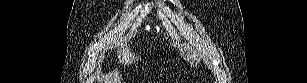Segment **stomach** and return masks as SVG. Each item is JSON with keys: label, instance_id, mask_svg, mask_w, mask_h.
<instances>
[{"label": "stomach", "instance_id": "stomach-1", "mask_svg": "<svg viewBox=\"0 0 307 83\" xmlns=\"http://www.w3.org/2000/svg\"><path fill=\"white\" fill-rule=\"evenodd\" d=\"M185 60L194 66L200 64V56L198 54H188L185 56Z\"/></svg>", "mask_w": 307, "mask_h": 83}]
</instances>
